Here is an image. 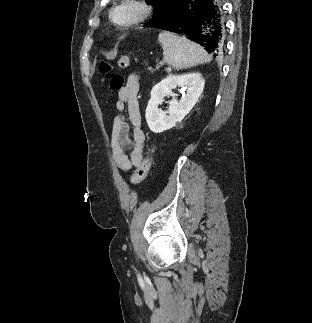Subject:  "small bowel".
Instances as JSON below:
<instances>
[{"label": "small bowel", "mask_w": 312, "mask_h": 323, "mask_svg": "<svg viewBox=\"0 0 312 323\" xmlns=\"http://www.w3.org/2000/svg\"><path fill=\"white\" fill-rule=\"evenodd\" d=\"M139 89V77L130 74L117 95V114L113 119L111 132V154L115 165L122 172H129L144 161L145 134L141 126ZM128 148H131L129 155L126 153Z\"/></svg>", "instance_id": "1"}]
</instances>
